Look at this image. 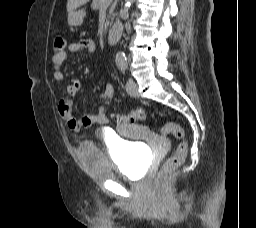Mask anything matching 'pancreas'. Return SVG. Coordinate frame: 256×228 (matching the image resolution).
Wrapping results in <instances>:
<instances>
[{"label":"pancreas","mask_w":256,"mask_h":228,"mask_svg":"<svg viewBox=\"0 0 256 228\" xmlns=\"http://www.w3.org/2000/svg\"><path fill=\"white\" fill-rule=\"evenodd\" d=\"M104 6H105V4L102 2V0H93L92 1V8L94 10L101 9Z\"/></svg>","instance_id":"1"}]
</instances>
